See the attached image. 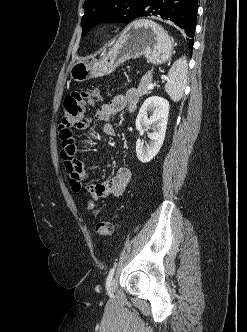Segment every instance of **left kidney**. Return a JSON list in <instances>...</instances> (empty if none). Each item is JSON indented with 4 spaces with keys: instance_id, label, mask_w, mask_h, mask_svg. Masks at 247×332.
Returning <instances> with one entry per match:
<instances>
[{
    "instance_id": "obj_1",
    "label": "left kidney",
    "mask_w": 247,
    "mask_h": 332,
    "mask_svg": "<svg viewBox=\"0 0 247 332\" xmlns=\"http://www.w3.org/2000/svg\"><path fill=\"white\" fill-rule=\"evenodd\" d=\"M148 111L153 114L148 118ZM169 115V102L158 96L146 99L141 106L136 118V129L143 134L145 128L153 126V132L148 133L150 142L144 146L141 139L136 142L137 158L142 163L151 161L162 147Z\"/></svg>"
}]
</instances>
